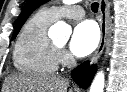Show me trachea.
I'll use <instances>...</instances> for the list:
<instances>
[{"label":"trachea","instance_id":"trachea-1","mask_svg":"<svg viewBox=\"0 0 127 92\" xmlns=\"http://www.w3.org/2000/svg\"><path fill=\"white\" fill-rule=\"evenodd\" d=\"M98 6H99V4H98L97 2L92 3V4H91V10H92L94 13L98 12Z\"/></svg>","mask_w":127,"mask_h":92}]
</instances>
